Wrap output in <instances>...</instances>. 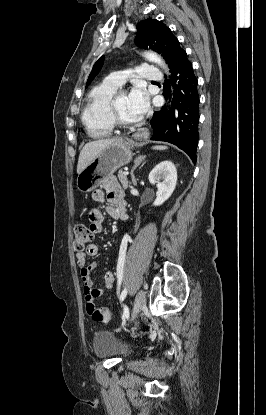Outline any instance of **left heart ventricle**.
Segmentation results:
<instances>
[{
  "mask_svg": "<svg viewBox=\"0 0 266 415\" xmlns=\"http://www.w3.org/2000/svg\"><path fill=\"white\" fill-rule=\"evenodd\" d=\"M116 109L121 119L125 122H135L140 119V116L131 109L127 94H122L117 98Z\"/></svg>",
  "mask_w": 266,
  "mask_h": 415,
  "instance_id": "obj_1",
  "label": "left heart ventricle"
}]
</instances>
